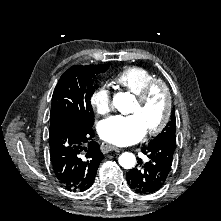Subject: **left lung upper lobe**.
<instances>
[{"label":"left lung upper lobe","instance_id":"left-lung-upper-lobe-1","mask_svg":"<svg viewBox=\"0 0 221 221\" xmlns=\"http://www.w3.org/2000/svg\"><path fill=\"white\" fill-rule=\"evenodd\" d=\"M175 132H176V120H175V111L173 110L171 121L168 122V124L162 130V132L157 137H155L149 144L157 143L166 139L176 143Z\"/></svg>","mask_w":221,"mask_h":221}]
</instances>
